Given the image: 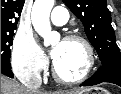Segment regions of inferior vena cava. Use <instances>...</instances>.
<instances>
[{
  "mask_svg": "<svg viewBox=\"0 0 121 94\" xmlns=\"http://www.w3.org/2000/svg\"><path fill=\"white\" fill-rule=\"evenodd\" d=\"M42 85V79L41 77L38 75L36 76L30 84L27 85V88L30 90V91H36V90H39V88L41 87Z\"/></svg>",
  "mask_w": 121,
  "mask_h": 94,
  "instance_id": "obj_1",
  "label": "inferior vena cava"
}]
</instances>
